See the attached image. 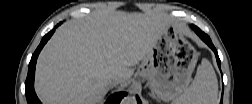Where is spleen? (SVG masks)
Returning <instances> with one entry per match:
<instances>
[{"label": "spleen", "instance_id": "3e777b00", "mask_svg": "<svg viewBox=\"0 0 252 104\" xmlns=\"http://www.w3.org/2000/svg\"><path fill=\"white\" fill-rule=\"evenodd\" d=\"M218 81L211 63L203 59L191 85L175 100L177 104H215Z\"/></svg>", "mask_w": 252, "mask_h": 104}]
</instances>
